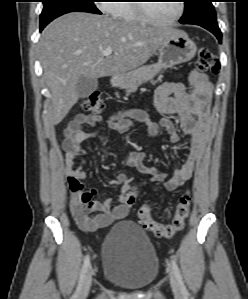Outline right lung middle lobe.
I'll return each instance as SVG.
<instances>
[{
	"instance_id": "dd1d6c3e",
	"label": "right lung middle lobe",
	"mask_w": 248,
	"mask_h": 299,
	"mask_svg": "<svg viewBox=\"0 0 248 299\" xmlns=\"http://www.w3.org/2000/svg\"><path fill=\"white\" fill-rule=\"evenodd\" d=\"M40 25H47L53 19L68 12H89L101 14L93 0H43Z\"/></svg>"
}]
</instances>
